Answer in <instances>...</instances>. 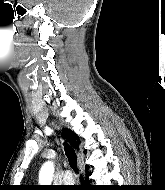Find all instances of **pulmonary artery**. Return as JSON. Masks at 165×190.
<instances>
[{
  "label": "pulmonary artery",
  "mask_w": 165,
  "mask_h": 190,
  "mask_svg": "<svg viewBox=\"0 0 165 190\" xmlns=\"http://www.w3.org/2000/svg\"><path fill=\"white\" fill-rule=\"evenodd\" d=\"M74 182V178L72 172L70 170H66L63 174V183L72 184Z\"/></svg>",
  "instance_id": "e3ab8cb5"
}]
</instances>
